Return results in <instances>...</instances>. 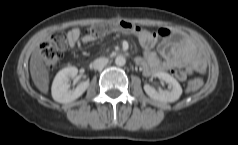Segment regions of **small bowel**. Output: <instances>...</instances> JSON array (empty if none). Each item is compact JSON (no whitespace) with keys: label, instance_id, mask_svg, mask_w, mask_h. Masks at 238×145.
Instances as JSON below:
<instances>
[{"label":"small bowel","instance_id":"small-bowel-1","mask_svg":"<svg viewBox=\"0 0 238 145\" xmlns=\"http://www.w3.org/2000/svg\"><path fill=\"white\" fill-rule=\"evenodd\" d=\"M167 29H160L157 34H152L147 30H142L136 34L139 43L145 49L142 56L136 58V64L139 65L145 75H152L175 68H182L181 71L174 70L179 80L183 81L191 73H204L206 71V62L202 56L189 44H174L168 40H163L160 44L162 53L178 52L175 57L162 59L159 54L153 50L158 36H167ZM69 42L75 44L78 41V31L72 30L68 34Z\"/></svg>","mask_w":238,"mask_h":145}]
</instances>
